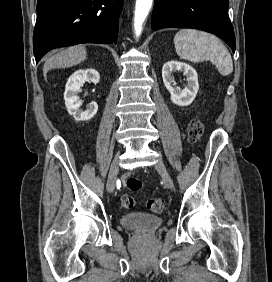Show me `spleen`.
Here are the masks:
<instances>
[{
    "label": "spleen",
    "instance_id": "3e777b00",
    "mask_svg": "<svg viewBox=\"0 0 272 282\" xmlns=\"http://www.w3.org/2000/svg\"><path fill=\"white\" fill-rule=\"evenodd\" d=\"M174 45L177 55L184 60L193 63L210 60L223 76L233 71L229 51L213 35L195 29H182L176 33Z\"/></svg>",
    "mask_w": 272,
    "mask_h": 282
}]
</instances>
